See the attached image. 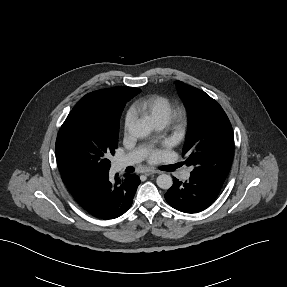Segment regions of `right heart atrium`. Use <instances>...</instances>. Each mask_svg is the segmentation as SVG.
I'll use <instances>...</instances> for the list:
<instances>
[{
  "mask_svg": "<svg viewBox=\"0 0 287 287\" xmlns=\"http://www.w3.org/2000/svg\"><path fill=\"white\" fill-rule=\"evenodd\" d=\"M134 113L132 110L128 111L126 116H125V120H124V129L126 132H128L130 130V128L132 127L133 123H134Z\"/></svg>",
  "mask_w": 287,
  "mask_h": 287,
  "instance_id": "1",
  "label": "right heart atrium"
}]
</instances>
